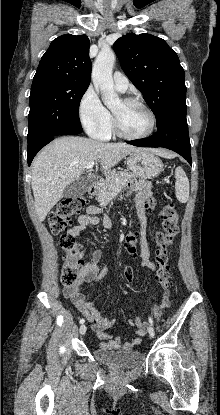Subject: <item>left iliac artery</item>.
Here are the masks:
<instances>
[{
  "mask_svg": "<svg viewBox=\"0 0 220 415\" xmlns=\"http://www.w3.org/2000/svg\"><path fill=\"white\" fill-rule=\"evenodd\" d=\"M148 320H149L150 325H153V319L150 316L148 317Z\"/></svg>",
  "mask_w": 220,
  "mask_h": 415,
  "instance_id": "left-iliac-artery-1",
  "label": "left iliac artery"
}]
</instances>
